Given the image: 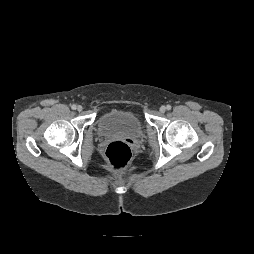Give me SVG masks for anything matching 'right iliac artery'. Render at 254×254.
<instances>
[{"mask_svg": "<svg viewBox=\"0 0 254 254\" xmlns=\"http://www.w3.org/2000/svg\"><path fill=\"white\" fill-rule=\"evenodd\" d=\"M71 108H72L73 110H75V109H76V105L73 104V105L71 106Z\"/></svg>", "mask_w": 254, "mask_h": 254, "instance_id": "right-iliac-artery-1", "label": "right iliac artery"}]
</instances>
